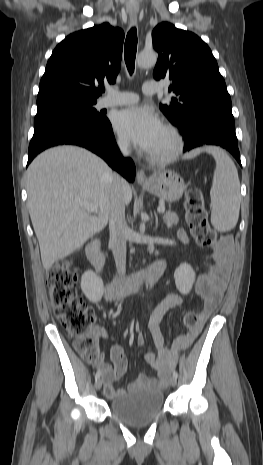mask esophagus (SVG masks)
I'll return each instance as SVG.
<instances>
[{"label": "esophagus", "mask_w": 263, "mask_h": 465, "mask_svg": "<svg viewBox=\"0 0 263 465\" xmlns=\"http://www.w3.org/2000/svg\"><path fill=\"white\" fill-rule=\"evenodd\" d=\"M130 22L135 25L137 23V15L136 14H132L130 15ZM136 180L139 184H147L148 183V179L145 175V172L142 170V169H139L137 171V174H136Z\"/></svg>", "instance_id": "obj_1"}]
</instances>
